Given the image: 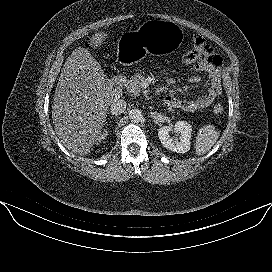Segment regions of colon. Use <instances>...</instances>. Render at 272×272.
Returning <instances> with one entry per match:
<instances>
[{
    "label": "colon",
    "instance_id": "obj_1",
    "mask_svg": "<svg viewBox=\"0 0 272 272\" xmlns=\"http://www.w3.org/2000/svg\"><path fill=\"white\" fill-rule=\"evenodd\" d=\"M201 57V51L198 49H193L190 51H187L182 56V61L186 64H192L199 60ZM213 111L215 114L220 115L224 111V107L222 104H216L213 108Z\"/></svg>",
    "mask_w": 272,
    "mask_h": 272
}]
</instances>
